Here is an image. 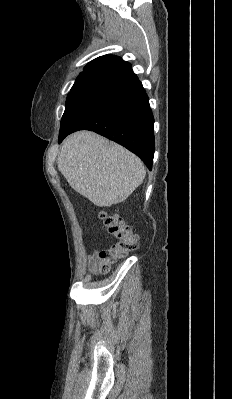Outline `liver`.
Instances as JSON below:
<instances>
[{
  "label": "liver",
  "mask_w": 232,
  "mask_h": 399,
  "mask_svg": "<svg viewBox=\"0 0 232 399\" xmlns=\"http://www.w3.org/2000/svg\"><path fill=\"white\" fill-rule=\"evenodd\" d=\"M57 166L71 188L95 205L126 200L146 176L137 156L94 132L68 136Z\"/></svg>",
  "instance_id": "liver-1"
}]
</instances>
